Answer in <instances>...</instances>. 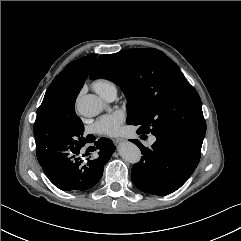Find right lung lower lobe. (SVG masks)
<instances>
[{"label":"right lung lower lobe","instance_id":"1","mask_svg":"<svg viewBox=\"0 0 241 241\" xmlns=\"http://www.w3.org/2000/svg\"><path fill=\"white\" fill-rule=\"evenodd\" d=\"M36 154L44 173L59 189L83 191L92 188L102 177L104 165L109 161L115 146L108 138L95 142L99 156L96 159L80 158V148L60 144H45L36 137ZM84 156V155H83Z\"/></svg>","mask_w":241,"mask_h":241}]
</instances>
